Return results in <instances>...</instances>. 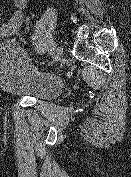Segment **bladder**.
<instances>
[{"mask_svg":"<svg viewBox=\"0 0 131 177\" xmlns=\"http://www.w3.org/2000/svg\"><path fill=\"white\" fill-rule=\"evenodd\" d=\"M0 87L9 95L50 100L63 91V79L38 69L15 42L0 43Z\"/></svg>","mask_w":131,"mask_h":177,"instance_id":"31cf9c89","label":"bladder"}]
</instances>
